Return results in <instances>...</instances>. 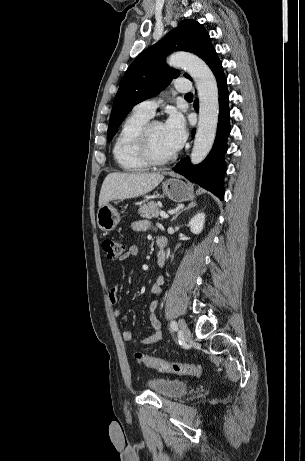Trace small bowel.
Masks as SVG:
<instances>
[{
	"instance_id": "small-bowel-1",
	"label": "small bowel",
	"mask_w": 305,
	"mask_h": 461,
	"mask_svg": "<svg viewBox=\"0 0 305 461\" xmlns=\"http://www.w3.org/2000/svg\"><path fill=\"white\" fill-rule=\"evenodd\" d=\"M147 228H148V222L146 221H140L134 224V229L138 231H143V230H146ZM138 252H139V249L137 246H130L118 260L121 262L126 261L132 257L137 256ZM164 263H165L164 254L158 253L159 266L161 267L164 266ZM163 283H164V279L162 277L157 279V281L151 287L152 296L157 297L161 295ZM119 286H120V283H116L115 285L111 287L110 293H109V300L113 306L114 315L120 318L124 316L125 311L120 306H118L117 292L119 290ZM158 307H159V304L157 301H152L149 305L148 312H149V319H150L151 327H150V332L145 338L138 341L133 331L125 330L123 332V339L127 342L135 343L140 346L159 343L162 340V332H161L160 321L157 315Z\"/></svg>"
}]
</instances>
